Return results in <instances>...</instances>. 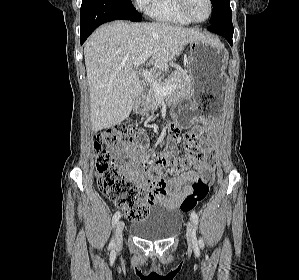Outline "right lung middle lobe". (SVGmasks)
Listing matches in <instances>:
<instances>
[{
    "mask_svg": "<svg viewBox=\"0 0 299 280\" xmlns=\"http://www.w3.org/2000/svg\"><path fill=\"white\" fill-rule=\"evenodd\" d=\"M121 3H123L126 7H128L133 13L136 14V16L142 18L141 14H139L136 9L134 8L131 0H119Z\"/></svg>",
    "mask_w": 299,
    "mask_h": 280,
    "instance_id": "obj_1",
    "label": "right lung middle lobe"
}]
</instances>
